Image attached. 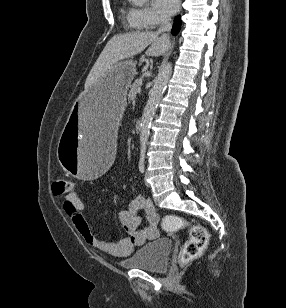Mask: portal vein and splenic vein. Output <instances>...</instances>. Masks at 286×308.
Segmentation results:
<instances>
[{"label":"portal vein and splenic vein","mask_w":286,"mask_h":308,"mask_svg":"<svg viewBox=\"0 0 286 308\" xmlns=\"http://www.w3.org/2000/svg\"><path fill=\"white\" fill-rule=\"evenodd\" d=\"M137 92L140 93V92H141V88H138V89H137Z\"/></svg>","instance_id":"18ae733b"}]
</instances>
